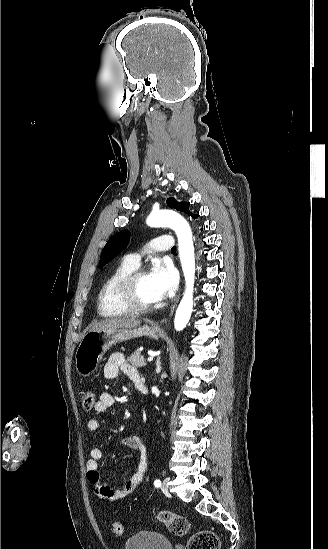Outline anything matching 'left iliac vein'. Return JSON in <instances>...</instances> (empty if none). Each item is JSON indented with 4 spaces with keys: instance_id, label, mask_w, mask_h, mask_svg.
<instances>
[{
    "instance_id": "1",
    "label": "left iliac vein",
    "mask_w": 328,
    "mask_h": 549,
    "mask_svg": "<svg viewBox=\"0 0 328 549\" xmlns=\"http://www.w3.org/2000/svg\"><path fill=\"white\" fill-rule=\"evenodd\" d=\"M161 489H162L163 492L168 491V481H167V479H164V481L162 483V486H161Z\"/></svg>"
}]
</instances>
